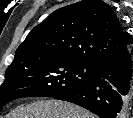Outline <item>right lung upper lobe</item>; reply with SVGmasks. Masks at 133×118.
Segmentation results:
<instances>
[{"label": "right lung upper lobe", "instance_id": "obj_1", "mask_svg": "<svg viewBox=\"0 0 133 118\" xmlns=\"http://www.w3.org/2000/svg\"><path fill=\"white\" fill-rule=\"evenodd\" d=\"M127 36L108 4L83 0L54 11L34 27L17 48L8 69L47 58L97 68L128 48Z\"/></svg>", "mask_w": 133, "mask_h": 118}]
</instances>
